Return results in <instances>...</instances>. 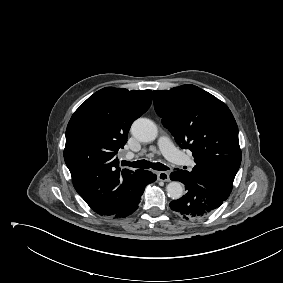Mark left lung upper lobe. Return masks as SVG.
I'll list each match as a JSON object with an SVG mask.
<instances>
[{
	"label": "left lung upper lobe",
	"mask_w": 283,
	"mask_h": 283,
	"mask_svg": "<svg viewBox=\"0 0 283 283\" xmlns=\"http://www.w3.org/2000/svg\"><path fill=\"white\" fill-rule=\"evenodd\" d=\"M162 124L182 149L192 151V171L185 178L226 200L241 164L236 121L225 103L195 85L154 90Z\"/></svg>",
	"instance_id": "1"
}]
</instances>
